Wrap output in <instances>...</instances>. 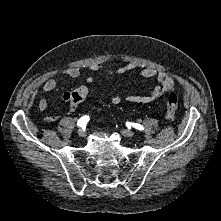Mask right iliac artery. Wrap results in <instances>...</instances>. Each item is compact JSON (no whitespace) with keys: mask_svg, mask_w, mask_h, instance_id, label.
I'll return each mask as SVG.
<instances>
[{"mask_svg":"<svg viewBox=\"0 0 221 221\" xmlns=\"http://www.w3.org/2000/svg\"><path fill=\"white\" fill-rule=\"evenodd\" d=\"M88 121H89V116L85 115V116L81 117V118L78 120L77 125H78L79 127L85 128L86 125H87V123H88Z\"/></svg>","mask_w":221,"mask_h":221,"instance_id":"1","label":"right iliac artery"}]
</instances>
